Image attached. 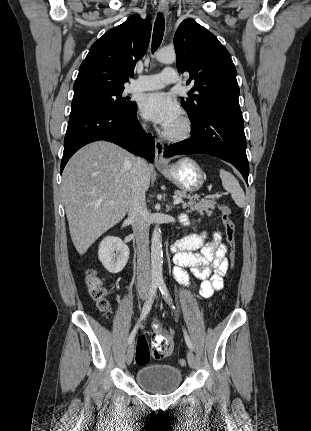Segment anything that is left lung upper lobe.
Wrapping results in <instances>:
<instances>
[{"label": "left lung upper lobe", "mask_w": 311, "mask_h": 431, "mask_svg": "<svg viewBox=\"0 0 311 431\" xmlns=\"http://www.w3.org/2000/svg\"><path fill=\"white\" fill-rule=\"evenodd\" d=\"M174 46L179 72H189L187 83L194 86L181 98L191 121L199 120L221 106H239L236 68L230 53L219 40L193 19L178 27Z\"/></svg>", "instance_id": "5c2ea615"}]
</instances>
